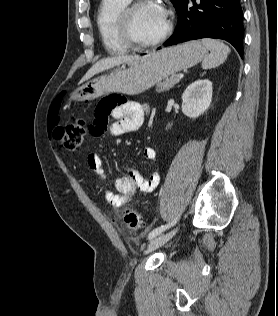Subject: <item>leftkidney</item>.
<instances>
[{
  "instance_id": "5707ae66",
  "label": "left kidney",
  "mask_w": 278,
  "mask_h": 316,
  "mask_svg": "<svg viewBox=\"0 0 278 316\" xmlns=\"http://www.w3.org/2000/svg\"><path fill=\"white\" fill-rule=\"evenodd\" d=\"M182 101V112L189 118L198 117L211 105L212 82L208 79L193 82L182 94Z\"/></svg>"
}]
</instances>
